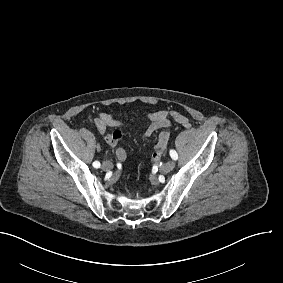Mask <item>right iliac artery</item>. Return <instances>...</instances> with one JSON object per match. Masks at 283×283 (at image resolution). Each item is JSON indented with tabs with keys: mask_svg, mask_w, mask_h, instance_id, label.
I'll use <instances>...</instances> for the list:
<instances>
[{
	"mask_svg": "<svg viewBox=\"0 0 283 283\" xmlns=\"http://www.w3.org/2000/svg\"><path fill=\"white\" fill-rule=\"evenodd\" d=\"M93 167L99 168L100 167V162H98V161L93 162Z\"/></svg>",
	"mask_w": 283,
	"mask_h": 283,
	"instance_id": "right-iliac-artery-1",
	"label": "right iliac artery"
}]
</instances>
